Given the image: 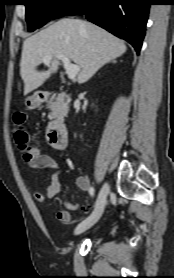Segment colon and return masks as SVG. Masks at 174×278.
Returning a JSON list of instances; mask_svg holds the SVG:
<instances>
[{
	"label": "colon",
	"mask_w": 174,
	"mask_h": 278,
	"mask_svg": "<svg viewBox=\"0 0 174 278\" xmlns=\"http://www.w3.org/2000/svg\"><path fill=\"white\" fill-rule=\"evenodd\" d=\"M26 119L27 115L25 112L20 111L14 115V121L18 126V129L15 133V140L22 152L23 160L25 162H30L38 156L39 150L29 145V135L24 129V123L26 122Z\"/></svg>",
	"instance_id": "5ec220e1"
}]
</instances>
